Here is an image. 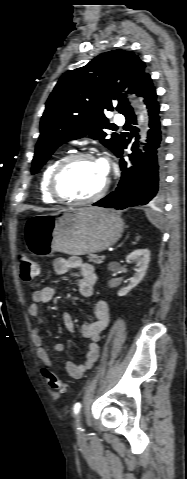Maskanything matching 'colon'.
Returning <instances> with one entry per match:
<instances>
[{"mask_svg": "<svg viewBox=\"0 0 187 479\" xmlns=\"http://www.w3.org/2000/svg\"><path fill=\"white\" fill-rule=\"evenodd\" d=\"M18 269L20 278L26 283L32 282L39 272L37 263L23 254L18 257ZM45 378L52 390L60 393L66 392L67 385L57 374L47 370L45 372Z\"/></svg>", "mask_w": 187, "mask_h": 479, "instance_id": "5ec220e1", "label": "colon"}]
</instances>
